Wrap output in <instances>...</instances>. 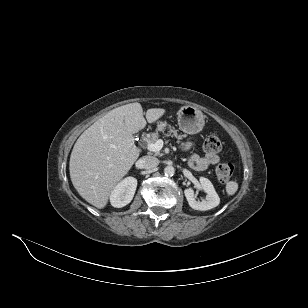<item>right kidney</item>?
<instances>
[{"label": "right kidney", "mask_w": 308, "mask_h": 308, "mask_svg": "<svg viewBox=\"0 0 308 308\" xmlns=\"http://www.w3.org/2000/svg\"><path fill=\"white\" fill-rule=\"evenodd\" d=\"M137 188V179L127 177L121 181L112 191L110 202L113 207L121 208L131 202Z\"/></svg>", "instance_id": "obj_1"}]
</instances>
